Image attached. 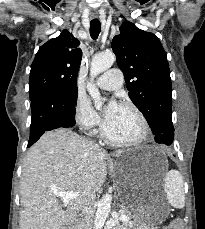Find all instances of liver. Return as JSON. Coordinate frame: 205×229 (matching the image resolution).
Returning <instances> with one entry per match:
<instances>
[{"label":"liver","instance_id":"1","mask_svg":"<svg viewBox=\"0 0 205 229\" xmlns=\"http://www.w3.org/2000/svg\"><path fill=\"white\" fill-rule=\"evenodd\" d=\"M122 152H115L119 156ZM109 155L72 130L46 132L29 149L20 185V229H62L82 209L83 201L96 194L107 176ZM77 192L64 203L53 191Z\"/></svg>","mask_w":205,"mask_h":229}]
</instances>
